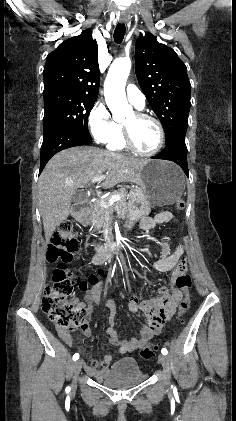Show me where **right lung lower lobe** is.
<instances>
[{"label": "right lung lower lobe", "instance_id": "obj_1", "mask_svg": "<svg viewBox=\"0 0 236 421\" xmlns=\"http://www.w3.org/2000/svg\"><path fill=\"white\" fill-rule=\"evenodd\" d=\"M91 142V138H87L67 130H57L52 134L44 137L41 147L39 174L49 159L57 152L74 146L89 145Z\"/></svg>", "mask_w": 236, "mask_h": 421}]
</instances>
